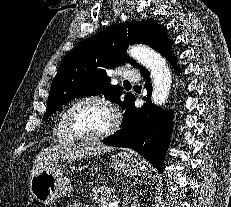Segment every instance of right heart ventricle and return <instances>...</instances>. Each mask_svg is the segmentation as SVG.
Wrapping results in <instances>:
<instances>
[{
  "instance_id": "right-heart-ventricle-1",
  "label": "right heart ventricle",
  "mask_w": 231,
  "mask_h": 207,
  "mask_svg": "<svg viewBox=\"0 0 231 207\" xmlns=\"http://www.w3.org/2000/svg\"><path fill=\"white\" fill-rule=\"evenodd\" d=\"M64 113L65 110H62L61 113L58 115L53 129V134L55 139L59 143H70L73 142L74 139L66 131L64 124Z\"/></svg>"
}]
</instances>
